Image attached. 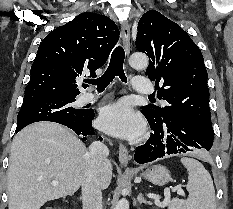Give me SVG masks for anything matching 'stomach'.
<instances>
[{"label": "stomach", "instance_id": "stomach-1", "mask_svg": "<svg viewBox=\"0 0 233 209\" xmlns=\"http://www.w3.org/2000/svg\"><path fill=\"white\" fill-rule=\"evenodd\" d=\"M146 180L157 186H163L170 181L169 170L162 165H154L141 174Z\"/></svg>", "mask_w": 233, "mask_h": 209}]
</instances>
